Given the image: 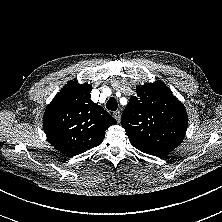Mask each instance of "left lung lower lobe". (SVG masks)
<instances>
[{"instance_id": "obj_1", "label": "left lung lower lobe", "mask_w": 222, "mask_h": 222, "mask_svg": "<svg viewBox=\"0 0 222 222\" xmlns=\"http://www.w3.org/2000/svg\"><path fill=\"white\" fill-rule=\"evenodd\" d=\"M134 147L140 150L141 152H144L149 155L157 156L160 158L171 151V149H151V148H145V147H140V146H134Z\"/></svg>"}]
</instances>
